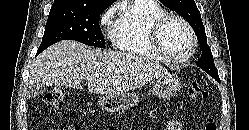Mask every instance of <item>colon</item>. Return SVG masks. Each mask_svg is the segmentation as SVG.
<instances>
[{"mask_svg":"<svg viewBox=\"0 0 249 130\" xmlns=\"http://www.w3.org/2000/svg\"><path fill=\"white\" fill-rule=\"evenodd\" d=\"M187 91L190 98L205 100L208 97V92L198 81L190 82ZM43 101L53 109H62L65 103V92L62 88L52 89L44 95ZM204 130H216V124L212 117H206Z\"/></svg>","mask_w":249,"mask_h":130,"instance_id":"obj_1","label":"colon"}]
</instances>
